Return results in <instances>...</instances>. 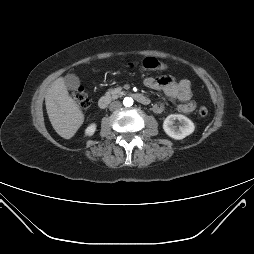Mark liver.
Masks as SVG:
<instances>
[{
    "instance_id": "1",
    "label": "liver",
    "mask_w": 254,
    "mask_h": 254,
    "mask_svg": "<svg viewBox=\"0 0 254 254\" xmlns=\"http://www.w3.org/2000/svg\"><path fill=\"white\" fill-rule=\"evenodd\" d=\"M46 110L54 130L64 139L72 138L84 122V115L69 95L64 78L56 79L45 96Z\"/></svg>"
}]
</instances>
